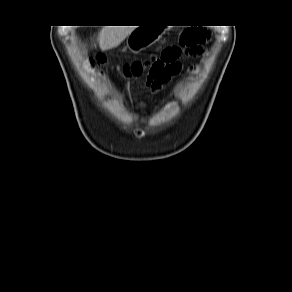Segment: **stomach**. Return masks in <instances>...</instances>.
Returning a JSON list of instances; mask_svg holds the SVG:
<instances>
[{
    "instance_id": "1",
    "label": "stomach",
    "mask_w": 292,
    "mask_h": 292,
    "mask_svg": "<svg viewBox=\"0 0 292 292\" xmlns=\"http://www.w3.org/2000/svg\"><path fill=\"white\" fill-rule=\"evenodd\" d=\"M160 38V30L153 27H137L127 37V48L133 53L151 46Z\"/></svg>"
}]
</instances>
